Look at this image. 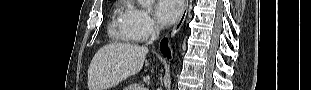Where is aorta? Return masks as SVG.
<instances>
[{
	"label": "aorta",
	"mask_w": 311,
	"mask_h": 90,
	"mask_svg": "<svg viewBox=\"0 0 311 90\" xmlns=\"http://www.w3.org/2000/svg\"><path fill=\"white\" fill-rule=\"evenodd\" d=\"M138 2L143 8H148L154 3V0H139Z\"/></svg>",
	"instance_id": "762f6f07"
}]
</instances>
